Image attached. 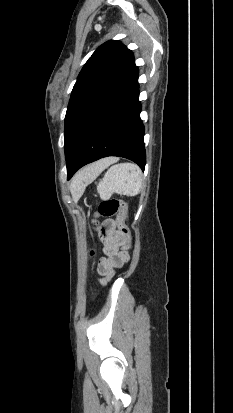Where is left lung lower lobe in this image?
<instances>
[{
    "label": "left lung lower lobe",
    "instance_id": "left-lung-lower-lobe-1",
    "mask_svg": "<svg viewBox=\"0 0 233 413\" xmlns=\"http://www.w3.org/2000/svg\"><path fill=\"white\" fill-rule=\"evenodd\" d=\"M140 111L138 68L134 64L126 80L87 127L67 164V179L85 164L106 156L130 159L144 171L146 154Z\"/></svg>",
    "mask_w": 233,
    "mask_h": 413
}]
</instances>
